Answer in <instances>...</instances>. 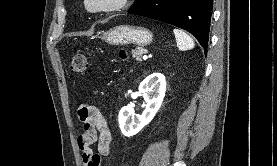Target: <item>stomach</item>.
Here are the masks:
<instances>
[{
	"label": "stomach",
	"mask_w": 277,
	"mask_h": 166,
	"mask_svg": "<svg viewBox=\"0 0 277 166\" xmlns=\"http://www.w3.org/2000/svg\"><path fill=\"white\" fill-rule=\"evenodd\" d=\"M101 38L116 46L128 44L146 46L152 42L153 34L144 27L119 25L104 32Z\"/></svg>",
	"instance_id": "1"
}]
</instances>
